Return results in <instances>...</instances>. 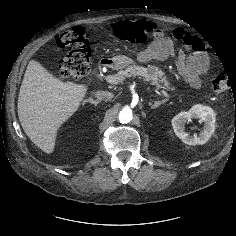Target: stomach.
<instances>
[{
    "label": "stomach",
    "instance_id": "0dacf381",
    "mask_svg": "<svg viewBox=\"0 0 236 236\" xmlns=\"http://www.w3.org/2000/svg\"><path fill=\"white\" fill-rule=\"evenodd\" d=\"M112 62H113L114 67L117 69H122V68H125V67L135 63V61L132 58L127 57L125 55L113 56Z\"/></svg>",
    "mask_w": 236,
    "mask_h": 236
}]
</instances>
